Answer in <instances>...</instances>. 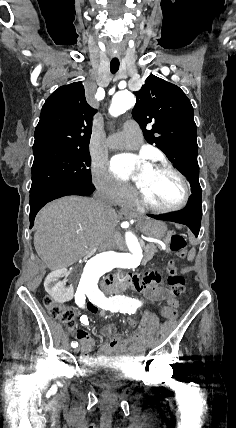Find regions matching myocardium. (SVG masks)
Returning <instances> with one entry per match:
<instances>
[{
	"instance_id": "f54148a6",
	"label": "myocardium",
	"mask_w": 236,
	"mask_h": 428,
	"mask_svg": "<svg viewBox=\"0 0 236 428\" xmlns=\"http://www.w3.org/2000/svg\"><path fill=\"white\" fill-rule=\"evenodd\" d=\"M151 169L156 170V171L164 170V171H167V172L173 174L174 176H176L182 185V189H183L182 198L174 206L163 207V206L157 205L154 202H152L145 195V193L139 188L138 197H137L138 201L142 205L148 207L149 209H151L153 211L159 212V213H173V212H177V211H180L183 208H185L187 206V204L189 203L190 198H191V189H190V185H189V182H188L186 176L178 168H176L173 164H171L168 161H162V162L155 163L151 167Z\"/></svg>"
}]
</instances>
